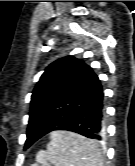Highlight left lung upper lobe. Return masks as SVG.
<instances>
[{
  "instance_id": "5c2ea615",
  "label": "left lung upper lobe",
  "mask_w": 135,
  "mask_h": 166,
  "mask_svg": "<svg viewBox=\"0 0 135 166\" xmlns=\"http://www.w3.org/2000/svg\"><path fill=\"white\" fill-rule=\"evenodd\" d=\"M85 66L82 60L67 56L45 69L32 92L29 124L47 121L65 105Z\"/></svg>"
}]
</instances>
